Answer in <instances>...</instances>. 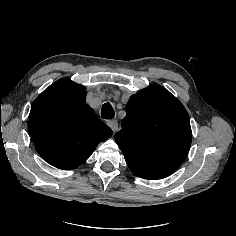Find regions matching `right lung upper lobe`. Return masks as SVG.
I'll return each instance as SVG.
<instances>
[{
    "label": "right lung upper lobe",
    "mask_w": 236,
    "mask_h": 236,
    "mask_svg": "<svg viewBox=\"0 0 236 236\" xmlns=\"http://www.w3.org/2000/svg\"><path fill=\"white\" fill-rule=\"evenodd\" d=\"M38 154L59 169L84 163L113 132L86 103V89L60 79L34 101L28 123Z\"/></svg>",
    "instance_id": "obj_1"
}]
</instances>
